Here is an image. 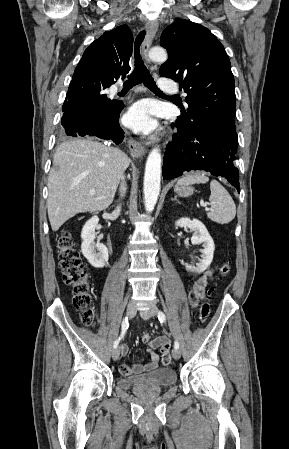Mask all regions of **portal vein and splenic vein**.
Instances as JSON below:
<instances>
[{
    "label": "portal vein and splenic vein",
    "instance_id": "1",
    "mask_svg": "<svg viewBox=\"0 0 289 449\" xmlns=\"http://www.w3.org/2000/svg\"><path fill=\"white\" fill-rule=\"evenodd\" d=\"M90 194H92V195H93V194H94V192H93V191H91V192H90ZM201 205L207 208V206H208V203H204V202H201Z\"/></svg>",
    "mask_w": 289,
    "mask_h": 449
}]
</instances>
